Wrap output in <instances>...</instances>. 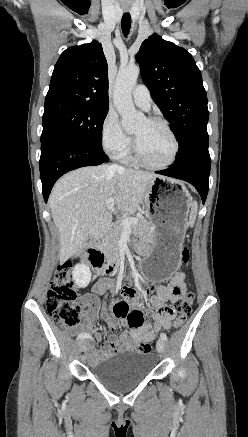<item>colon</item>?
Returning a JSON list of instances; mask_svg holds the SVG:
<instances>
[{
	"label": "colon",
	"mask_w": 248,
	"mask_h": 437,
	"mask_svg": "<svg viewBox=\"0 0 248 437\" xmlns=\"http://www.w3.org/2000/svg\"><path fill=\"white\" fill-rule=\"evenodd\" d=\"M189 257V250L184 248L182 260L188 262ZM91 265L100 271L102 275L109 274L108 270L103 269L102 258ZM152 289L149 287L147 291H152ZM193 300V294L189 293L178 298L174 307L168 309V312H172L173 316L177 312L173 321L174 328H179L184 324L192 310ZM46 308L52 320L62 328H75L82 321L84 317V304L78 298V290L73 278L71 263L66 262L57 267L47 293ZM138 349L140 352L149 353L152 351V345L141 343Z\"/></svg>",
	"instance_id": "obj_1"
}]
</instances>
